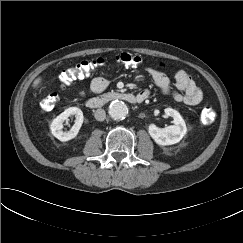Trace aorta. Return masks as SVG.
Here are the masks:
<instances>
[{"label": "aorta", "mask_w": 243, "mask_h": 243, "mask_svg": "<svg viewBox=\"0 0 243 243\" xmlns=\"http://www.w3.org/2000/svg\"><path fill=\"white\" fill-rule=\"evenodd\" d=\"M128 114V107L126 103L121 100L113 101L109 106V115L114 120H123Z\"/></svg>", "instance_id": "762f6f07"}]
</instances>
